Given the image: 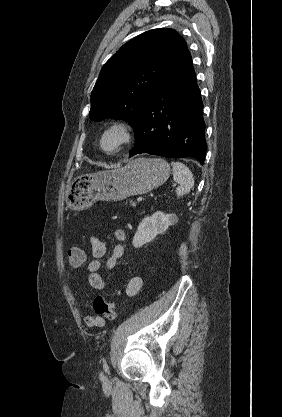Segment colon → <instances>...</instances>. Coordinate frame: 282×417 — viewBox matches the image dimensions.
<instances>
[{
  "label": "colon",
  "instance_id": "5ec220e1",
  "mask_svg": "<svg viewBox=\"0 0 282 417\" xmlns=\"http://www.w3.org/2000/svg\"><path fill=\"white\" fill-rule=\"evenodd\" d=\"M69 263L73 268L84 265L87 262V254L81 248H72L68 253ZM93 308L98 316H105L110 320L116 318V311L113 304L107 302L103 297L97 296L93 302Z\"/></svg>",
  "mask_w": 282,
  "mask_h": 417
}]
</instances>
